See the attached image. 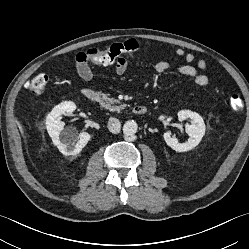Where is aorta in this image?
Wrapping results in <instances>:
<instances>
[{"label": "aorta", "mask_w": 249, "mask_h": 249, "mask_svg": "<svg viewBox=\"0 0 249 249\" xmlns=\"http://www.w3.org/2000/svg\"><path fill=\"white\" fill-rule=\"evenodd\" d=\"M138 129V125L134 120H128L123 125V133L126 136H133Z\"/></svg>", "instance_id": "aorta-1"}]
</instances>
